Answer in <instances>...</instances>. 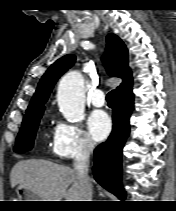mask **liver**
Returning <instances> with one entry per match:
<instances>
[{"label":"liver","mask_w":176,"mask_h":211,"mask_svg":"<svg viewBox=\"0 0 176 211\" xmlns=\"http://www.w3.org/2000/svg\"><path fill=\"white\" fill-rule=\"evenodd\" d=\"M11 187L22 184L43 201H83L84 190L76 172L47 160H22L10 173Z\"/></svg>","instance_id":"liver-1"}]
</instances>
